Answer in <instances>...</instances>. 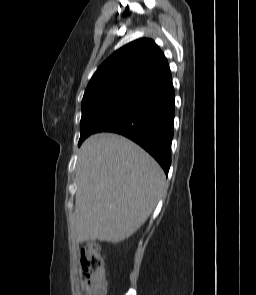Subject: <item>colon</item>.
Here are the masks:
<instances>
[{"label":"colon","instance_id":"obj_1","mask_svg":"<svg viewBox=\"0 0 256 295\" xmlns=\"http://www.w3.org/2000/svg\"><path fill=\"white\" fill-rule=\"evenodd\" d=\"M84 286L88 295H105L104 259L98 243H87L80 252Z\"/></svg>","mask_w":256,"mask_h":295}]
</instances>
